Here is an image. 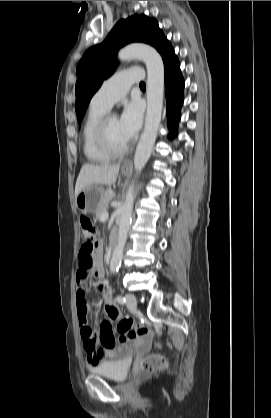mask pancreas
Here are the masks:
<instances>
[{
	"label": "pancreas",
	"mask_w": 271,
	"mask_h": 418,
	"mask_svg": "<svg viewBox=\"0 0 271 418\" xmlns=\"http://www.w3.org/2000/svg\"><path fill=\"white\" fill-rule=\"evenodd\" d=\"M114 198V192L111 189H107L101 199L100 205L96 211L97 219L101 220V217L107 212L109 202Z\"/></svg>",
	"instance_id": "1"
}]
</instances>
